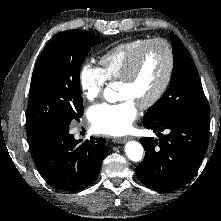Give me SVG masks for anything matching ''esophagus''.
Listing matches in <instances>:
<instances>
[{"label":"esophagus","mask_w":221,"mask_h":221,"mask_svg":"<svg viewBox=\"0 0 221 221\" xmlns=\"http://www.w3.org/2000/svg\"><path fill=\"white\" fill-rule=\"evenodd\" d=\"M130 137H115L113 138V142L114 143H118V144H122V143H125L127 140H129Z\"/></svg>","instance_id":"1"}]
</instances>
